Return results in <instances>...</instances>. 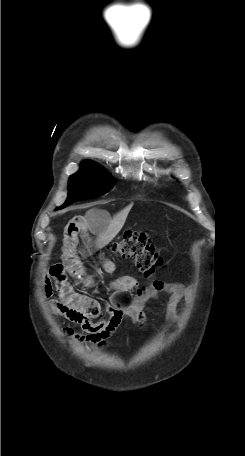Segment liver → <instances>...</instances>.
Segmentation results:
<instances>
[{"label":"liver","instance_id":"obj_1","mask_svg":"<svg viewBox=\"0 0 245 456\" xmlns=\"http://www.w3.org/2000/svg\"><path fill=\"white\" fill-rule=\"evenodd\" d=\"M133 204L128 205L122 211L117 213L112 219L109 220L108 225L105 229L98 235L95 241V247L101 249L104 246L108 245L114 237L120 232L124 223L127 219V216L132 208Z\"/></svg>","mask_w":245,"mask_h":456}]
</instances>
